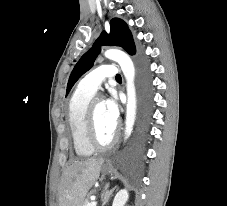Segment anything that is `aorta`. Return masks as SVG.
<instances>
[{"mask_svg": "<svg viewBox=\"0 0 227 206\" xmlns=\"http://www.w3.org/2000/svg\"><path fill=\"white\" fill-rule=\"evenodd\" d=\"M105 57L119 63L126 79L127 105H126V127L125 139H127L133 130L136 118V90H135V68L131 58L123 51L110 49L105 52Z\"/></svg>", "mask_w": 227, "mask_h": 206, "instance_id": "762f6f07", "label": "aorta"}]
</instances>
